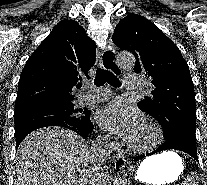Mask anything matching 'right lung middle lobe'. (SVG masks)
Here are the masks:
<instances>
[{
	"label": "right lung middle lobe",
	"instance_id": "dd1d6c3e",
	"mask_svg": "<svg viewBox=\"0 0 207 185\" xmlns=\"http://www.w3.org/2000/svg\"><path fill=\"white\" fill-rule=\"evenodd\" d=\"M91 111L74 104H42L14 111L15 134L43 124L79 125L88 122Z\"/></svg>",
	"mask_w": 207,
	"mask_h": 185
}]
</instances>
